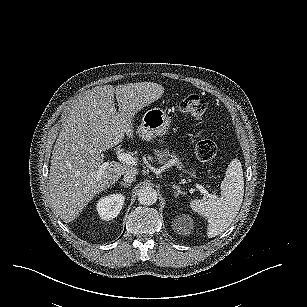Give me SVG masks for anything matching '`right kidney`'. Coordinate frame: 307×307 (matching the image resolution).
Returning <instances> with one entry per match:
<instances>
[{
	"mask_svg": "<svg viewBox=\"0 0 307 307\" xmlns=\"http://www.w3.org/2000/svg\"><path fill=\"white\" fill-rule=\"evenodd\" d=\"M125 197L121 193L101 197L96 203V210L102 220L110 221L117 217L124 205Z\"/></svg>",
	"mask_w": 307,
	"mask_h": 307,
	"instance_id": "ca27d5eb",
	"label": "right kidney"
}]
</instances>
